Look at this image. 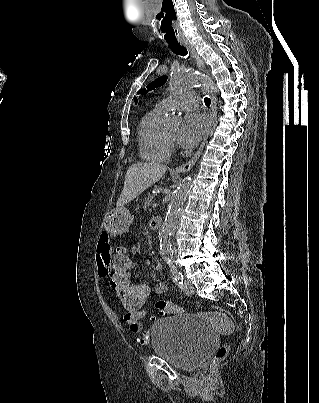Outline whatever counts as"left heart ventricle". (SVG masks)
<instances>
[{
  "instance_id": "obj_1",
  "label": "left heart ventricle",
  "mask_w": 319,
  "mask_h": 403,
  "mask_svg": "<svg viewBox=\"0 0 319 403\" xmlns=\"http://www.w3.org/2000/svg\"><path fill=\"white\" fill-rule=\"evenodd\" d=\"M166 133L175 140L178 135V127L169 128Z\"/></svg>"
}]
</instances>
